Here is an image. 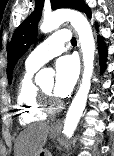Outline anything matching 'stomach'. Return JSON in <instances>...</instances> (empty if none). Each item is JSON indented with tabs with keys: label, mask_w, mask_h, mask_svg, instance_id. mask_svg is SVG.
Returning a JSON list of instances; mask_svg holds the SVG:
<instances>
[{
	"label": "stomach",
	"mask_w": 114,
	"mask_h": 156,
	"mask_svg": "<svg viewBox=\"0 0 114 156\" xmlns=\"http://www.w3.org/2000/svg\"><path fill=\"white\" fill-rule=\"evenodd\" d=\"M58 133H59V129L58 128H56L54 126L50 127L49 134H50V136L52 138L56 137ZM38 156H51V154H50V152L48 150L42 149Z\"/></svg>",
	"instance_id": "0dacf381"
}]
</instances>
